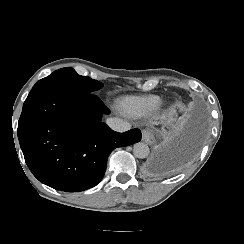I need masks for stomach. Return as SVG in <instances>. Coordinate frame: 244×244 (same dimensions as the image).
I'll use <instances>...</instances> for the list:
<instances>
[{
	"label": "stomach",
	"mask_w": 244,
	"mask_h": 244,
	"mask_svg": "<svg viewBox=\"0 0 244 244\" xmlns=\"http://www.w3.org/2000/svg\"><path fill=\"white\" fill-rule=\"evenodd\" d=\"M175 119V113H174V110H171L168 114H167V117L165 119L166 123L167 124H170L174 121Z\"/></svg>",
	"instance_id": "stomach-1"
}]
</instances>
